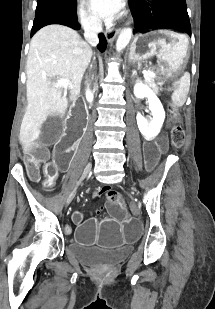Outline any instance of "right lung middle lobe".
I'll return each instance as SVG.
<instances>
[{"label": "right lung middle lobe", "instance_id": "dd1d6c3e", "mask_svg": "<svg viewBox=\"0 0 215 309\" xmlns=\"http://www.w3.org/2000/svg\"><path fill=\"white\" fill-rule=\"evenodd\" d=\"M77 0H37L32 33L40 29V24L52 18L74 20L77 17Z\"/></svg>", "mask_w": 215, "mask_h": 309}]
</instances>
